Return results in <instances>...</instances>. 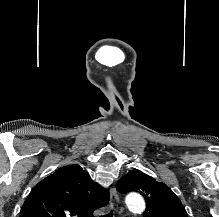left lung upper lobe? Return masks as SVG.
<instances>
[{
	"label": "left lung upper lobe",
	"mask_w": 219,
	"mask_h": 217,
	"mask_svg": "<svg viewBox=\"0 0 219 217\" xmlns=\"http://www.w3.org/2000/svg\"><path fill=\"white\" fill-rule=\"evenodd\" d=\"M116 188L121 193L139 192L145 198L147 208L143 217H188L181 201L167 185L139 170L119 179Z\"/></svg>",
	"instance_id": "1"
}]
</instances>
